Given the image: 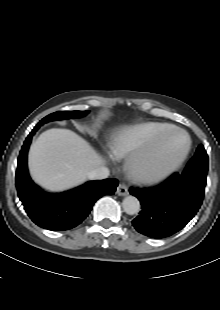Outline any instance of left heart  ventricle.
Wrapping results in <instances>:
<instances>
[{
    "label": "left heart ventricle",
    "mask_w": 220,
    "mask_h": 310,
    "mask_svg": "<svg viewBox=\"0 0 220 310\" xmlns=\"http://www.w3.org/2000/svg\"><path fill=\"white\" fill-rule=\"evenodd\" d=\"M185 145V137L179 133H172L164 140L156 154L148 164L151 172H157L170 165L181 153Z\"/></svg>",
    "instance_id": "obj_1"
}]
</instances>
